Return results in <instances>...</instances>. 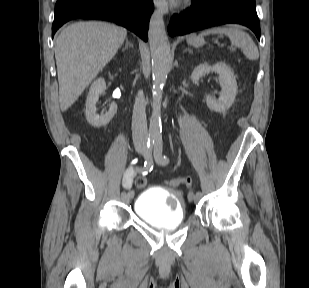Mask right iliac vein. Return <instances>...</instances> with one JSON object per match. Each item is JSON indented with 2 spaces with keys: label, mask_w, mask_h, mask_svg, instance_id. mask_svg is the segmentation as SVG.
<instances>
[{
  "label": "right iliac vein",
  "mask_w": 309,
  "mask_h": 288,
  "mask_svg": "<svg viewBox=\"0 0 309 288\" xmlns=\"http://www.w3.org/2000/svg\"><path fill=\"white\" fill-rule=\"evenodd\" d=\"M137 151L139 152V153H142L143 155H147V152L145 151V149L144 148H142V147H138L137 148ZM133 198V197H132ZM131 197H129V195H128V193L127 194H125L124 196H123V201L124 202H129L130 201V199H132Z\"/></svg>",
  "instance_id": "1"
}]
</instances>
